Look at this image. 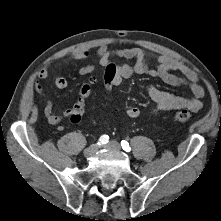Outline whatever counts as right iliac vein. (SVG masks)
<instances>
[{
	"label": "right iliac vein",
	"instance_id": "63e3f726",
	"mask_svg": "<svg viewBox=\"0 0 221 221\" xmlns=\"http://www.w3.org/2000/svg\"><path fill=\"white\" fill-rule=\"evenodd\" d=\"M97 149L98 147L96 145H92L84 150V155L90 157L96 153Z\"/></svg>",
	"mask_w": 221,
	"mask_h": 221
}]
</instances>
